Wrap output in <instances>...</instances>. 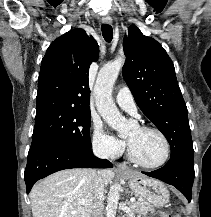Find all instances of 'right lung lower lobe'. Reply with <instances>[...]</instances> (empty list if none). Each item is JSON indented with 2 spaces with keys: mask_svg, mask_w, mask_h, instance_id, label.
I'll list each match as a JSON object with an SVG mask.
<instances>
[{
  "mask_svg": "<svg viewBox=\"0 0 211 217\" xmlns=\"http://www.w3.org/2000/svg\"><path fill=\"white\" fill-rule=\"evenodd\" d=\"M111 167V162L96 158L91 149L79 150L52 142L32 143L24 174L27 193L37 180L60 170Z\"/></svg>",
  "mask_w": 211,
  "mask_h": 217,
  "instance_id": "98d812e1",
  "label": "right lung lower lobe"
}]
</instances>
